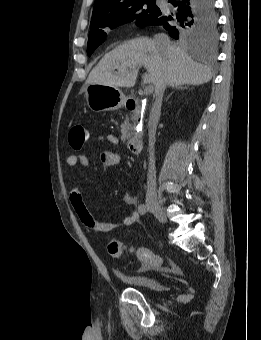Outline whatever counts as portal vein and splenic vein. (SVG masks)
<instances>
[{"instance_id":"portal-vein-and-splenic-vein-1","label":"portal vein and splenic vein","mask_w":261,"mask_h":340,"mask_svg":"<svg viewBox=\"0 0 261 340\" xmlns=\"http://www.w3.org/2000/svg\"><path fill=\"white\" fill-rule=\"evenodd\" d=\"M153 90H154L153 85L147 86V87L145 88V95L151 94V93L153 92Z\"/></svg>"}]
</instances>
